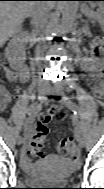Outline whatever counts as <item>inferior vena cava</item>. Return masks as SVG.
<instances>
[{"mask_svg": "<svg viewBox=\"0 0 104 189\" xmlns=\"http://www.w3.org/2000/svg\"><path fill=\"white\" fill-rule=\"evenodd\" d=\"M41 3L40 6L34 8L31 12L32 17V25L34 28V32H39L44 24L47 17L48 5L45 2H38ZM40 48H37V54H39ZM40 76H39V88H50L51 82H48L49 77H47V67H45V62H42V66L40 67Z\"/></svg>", "mask_w": 104, "mask_h": 189, "instance_id": "602c4592", "label": "inferior vena cava"}]
</instances>
